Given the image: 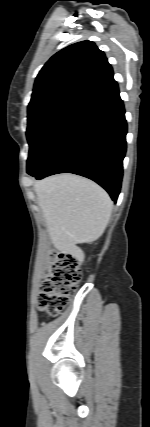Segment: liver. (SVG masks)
I'll list each match as a JSON object with an SVG mask.
<instances>
[{"instance_id":"6515ba94","label":"liver","mask_w":150,"mask_h":427,"mask_svg":"<svg viewBox=\"0 0 150 427\" xmlns=\"http://www.w3.org/2000/svg\"><path fill=\"white\" fill-rule=\"evenodd\" d=\"M54 247L76 253V244L91 243L104 232L113 202L95 182L73 174H60L34 184Z\"/></svg>"}]
</instances>
